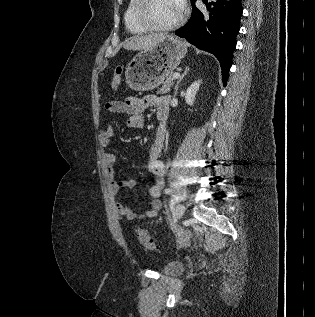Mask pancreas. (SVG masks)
<instances>
[{"label": "pancreas", "instance_id": "pancreas-1", "mask_svg": "<svg viewBox=\"0 0 315 317\" xmlns=\"http://www.w3.org/2000/svg\"><path fill=\"white\" fill-rule=\"evenodd\" d=\"M174 85L173 75H169L165 82H163L162 87L157 90V94L168 93L171 87Z\"/></svg>", "mask_w": 315, "mask_h": 317}]
</instances>
